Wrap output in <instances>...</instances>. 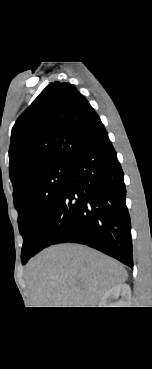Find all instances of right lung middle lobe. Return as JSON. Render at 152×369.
Instances as JSON below:
<instances>
[{"instance_id":"1","label":"right lung middle lobe","mask_w":152,"mask_h":369,"mask_svg":"<svg viewBox=\"0 0 152 369\" xmlns=\"http://www.w3.org/2000/svg\"><path fill=\"white\" fill-rule=\"evenodd\" d=\"M69 163L52 165L32 173L23 187L13 194L23 236L22 262L36 251L43 231L67 181Z\"/></svg>"}]
</instances>
